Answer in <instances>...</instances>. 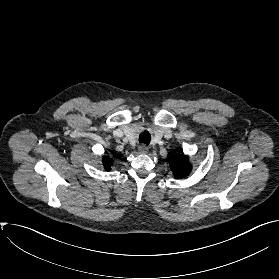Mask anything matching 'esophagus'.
I'll return each instance as SVG.
<instances>
[{"label":"esophagus","mask_w":279,"mask_h":279,"mask_svg":"<svg viewBox=\"0 0 279 279\" xmlns=\"http://www.w3.org/2000/svg\"><path fill=\"white\" fill-rule=\"evenodd\" d=\"M138 150H139L140 153L146 154V153L148 152L149 149H148L147 146L141 145V146H139Z\"/></svg>","instance_id":"34e87169"}]
</instances>
